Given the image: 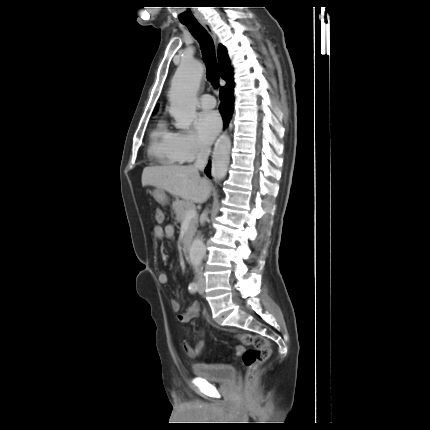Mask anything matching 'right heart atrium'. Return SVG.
I'll return each instance as SVG.
<instances>
[{
    "instance_id": "d8ad5b80",
    "label": "right heart atrium",
    "mask_w": 430,
    "mask_h": 430,
    "mask_svg": "<svg viewBox=\"0 0 430 430\" xmlns=\"http://www.w3.org/2000/svg\"><path fill=\"white\" fill-rule=\"evenodd\" d=\"M175 148L183 162H190L198 157L205 156L208 148L201 144L190 131L175 133Z\"/></svg>"
}]
</instances>
